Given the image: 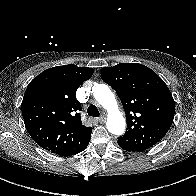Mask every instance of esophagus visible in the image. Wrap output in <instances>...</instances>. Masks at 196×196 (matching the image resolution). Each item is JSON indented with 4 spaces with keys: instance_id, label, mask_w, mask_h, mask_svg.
Wrapping results in <instances>:
<instances>
[{
    "instance_id": "34e87169",
    "label": "esophagus",
    "mask_w": 196,
    "mask_h": 196,
    "mask_svg": "<svg viewBox=\"0 0 196 196\" xmlns=\"http://www.w3.org/2000/svg\"><path fill=\"white\" fill-rule=\"evenodd\" d=\"M98 121H99L100 123H104V122L106 121V118H105L104 116L99 117V118H98Z\"/></svg>"
}]
</instances>
